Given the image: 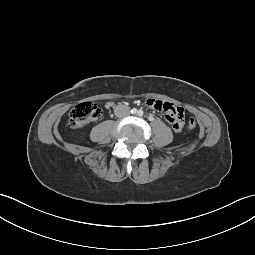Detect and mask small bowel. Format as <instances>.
I'll return each mask as SVG.
<instances>
[{"label": "small bowel", "mask_w": 255, "mask_h": 255, "mask_svg": "<svg viewBox=\"0 0 255 255\" xmlns=\"http://www.w3.org/2000/svg\"><path fill=\"white\" fill-rule=\"evenodd\" d=\"M146 104L157 111H160L165 114L166 119L170 123V128L178 136H181L185 133V111L170 102L149 98L146 100ZM113 102H106L105 108L111 109Z\"/></svg>", "instance_id": "c3829d8e"}]
</instances>
